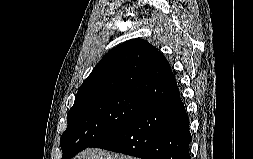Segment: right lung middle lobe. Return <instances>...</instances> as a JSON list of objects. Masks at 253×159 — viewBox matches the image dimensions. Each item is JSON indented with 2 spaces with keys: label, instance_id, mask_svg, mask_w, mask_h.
Instances as JSON below:
<instances>
[{
  "label": "right lung middle lobe",
  "instance_id": "right-lung-middle-lobe-1",
  "mask_svg": "<svg viewBox=\"0 0 253 159\" xmlns=\"http://www.w3.org/2000/svg\"><path fill=\"white\" fill-rule=\"evenodd\" d=\"M153 105L149 100L126 94L75 101L67 115L68 127L60 139L62 159H71L79 151L92 147Z\"/></svg>",
  "mask_w": 253,
  "mask_h": 159
}]
</instances>
